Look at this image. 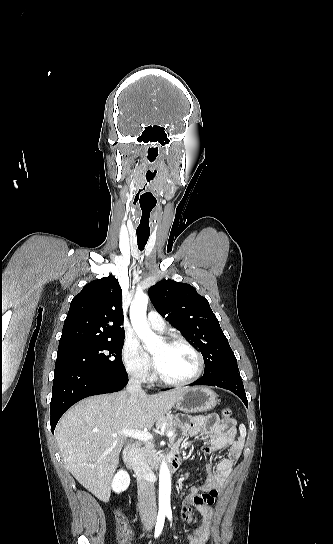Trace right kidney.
Here are the masks:
<instances>
[{
    "label": "right kidney",
    "instance_id": "right-kidney-1",
    "mask_svg": "<svg viewBox=\"0 0 333 544\" xmlns=\"http://www.w3.org/2000/svg\"><path fill=\"white\" fill-rule=\"evenodd\" d=\"M130 484V476L124 470H119L113 478L112 489L116 493L125 491Z\"/></svg>",
    "mask_w": 333,
    "mask_h": 544
}]
</instances>
